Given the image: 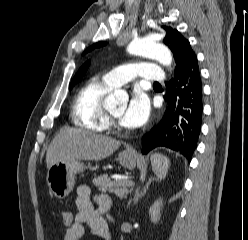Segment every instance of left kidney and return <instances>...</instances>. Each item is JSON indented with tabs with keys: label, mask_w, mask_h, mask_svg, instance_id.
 Segmentation results:
<instances>
[{
	"label": "left kidney",
	"mask_w": 248,
	"mask_h": 240,
	"mask_svg": "<svg viewBox=\"0 0 248 240\" xmlns=\"http://www.w3.org/2000/svg\"><path fill=\"white\" fill-rule=\"evenodd\" d=\"M163 205L162 199L155 201V203L150 207L149 214L151 216V221L157 223L161 217L160 211Z\"/></svg>",
	"instance_id": "1"
}]
</instances>
